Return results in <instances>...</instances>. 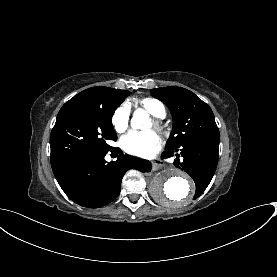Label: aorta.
<instances>
[{
    "label": "aorta",
    "mask_w": 277,
    "mask_h": 277,
    "mask_svg": "<svg viewBox=\"0 0 277 277\" xmlns=\"http://www.w3.org/2000/svg\"><path fill=\"white\" fill-rule=\"evenodd\" d=\"M149 120L143 109H137L131 119V126L139 129ZM192 179L183 171L167 167L158 172L150 183L152 196L163 205H185L194 195Z\"/></svg>",
    "instance_id": "762f6f07"
}]
</instances>
